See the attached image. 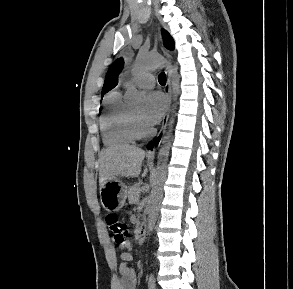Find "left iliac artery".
<instances>
[{"instance_id": "obj_1", "label": "left iliac artery", "mask_w": 293, "mask_h": 289, "mask_svg": "<svg viewBox=\"0 0 293 289\" xmlns=\"http://www.w3.org/2000/svg\"><path fill=\"white\" fill-rule=\"evenodd\" d=\"M156 287V281L153 273L150 274L149 279H148V288L149 289H155Z\"/></svg>"}]
</instances>
